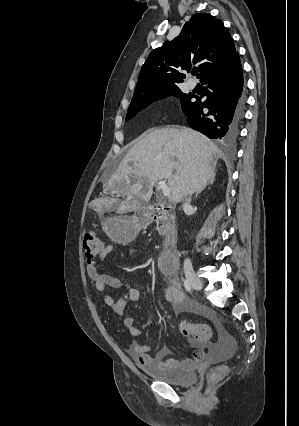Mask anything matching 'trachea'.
<instances>
[{"instance_id": "trachea-1", "label": "trachea", "mask_w": 299, "mask_h": 426, "mask_svg": "<svg viewBox=\"0 0 299 426\" xmlns=\"http://www.w3.org/2000/svg\"><path fill=\"white\" fill-rule=\"evenodd\" d=\"M198 73V71L197 70H194L193 72H192V74L193 75H196Z\"/></svg>"}]
</instances>
